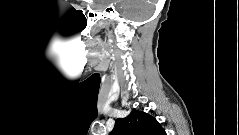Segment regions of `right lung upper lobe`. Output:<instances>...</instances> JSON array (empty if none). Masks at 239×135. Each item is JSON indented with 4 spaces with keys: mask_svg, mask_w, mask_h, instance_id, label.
Returning <instances> with one entry per match:
<instances>
[{
    "mask_svg": "<svg viewBox=\"0 0 239 135\" xmlns=\"http://www.w3.org/2000/svg\"><path fill=\"white\" fill-rule=\"evenodd\" d=\"M111 135H165V131L154 117L132 110L127 117L116 119Z\"/></svg>",
    "mask_w": 239,
    "mask_h": 135,
    "instance_id": "right-lung-upper-lobe-1",
    "label": "right lung upper lobe"
}]
</instances>
